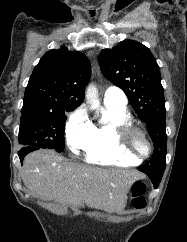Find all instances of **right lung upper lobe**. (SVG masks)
Listing matches in <instances>:
<instances>
[{
  "mask_svg": "<svg viewBox=\"0 0 187 242\" xmlns=\"http://www.w3.org/2000/svg\"><path fill=\"white\" fill-rule=\"evenodd\" d=\"M90 75L84 54L65 47L46 52L29 79L22 110H74L84 100Z\"/></svg>",
  "mask_w": 187,
  "mask_h": 242,
  "instance_id": "1",
  "label": "right lung upper lobe"
}]
</instances>
